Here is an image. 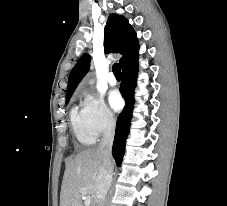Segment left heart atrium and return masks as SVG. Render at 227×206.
Listing matches in <instances>:
<instances>
[{"label": "left heart atrium", "instance_id": "obj_1", "mask_svg": "<svg viewBox=\"0 0 227 206\" xmlns=\"http://www.w3.org/2000/svg\"><path fill=\"white\" fill-rule=\"evenodd\" d=\"M109 103L114 110H120L123 106V99L117 90H113L109 94Z\"/></svg>", "mask_w": 227, "mask_h": 206}]
</instances>
